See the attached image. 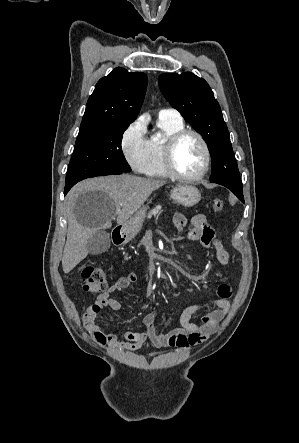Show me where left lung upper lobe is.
Returning <instances> with one entry per match:
<instances>
[{
	"label": "left lung upper lobe",
	"instance_id": "5c2ea615",
	"mask_svg": "<svg viewBox=\"0 0 299 443\" xmlns=\"http://www.w3.org/2000/svg\"><path fill=\"white\" fill-rule=\"evenodd\" d=\"M158 83L171 106L206 141L212 160L211 182L242 186L229 131L208 83L191 72L161 74Z\"/></svg>",
	"mask_w": 299,
	"mask_h": 443
}]
</instances>
